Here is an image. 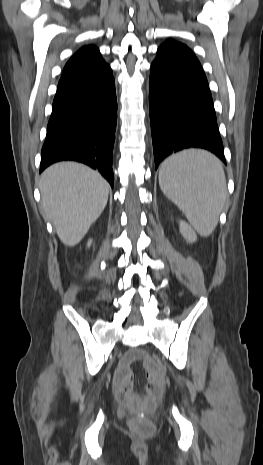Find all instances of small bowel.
<instances>
[{"label":"small bowel","mask_w":263,"mask_h":465,"mask_svg":"<svg viewBox=\"0 0 263 465\" xmlns=\"http://www.w3.org/2000/svg\"><path fill=\"white\" fill-rule=\"evenodd\" d=\"M138 354L135 352L127 353L120 361L119 366L114 376V390L117 398L126 404H129L134 399L139 398L131 390L132 371L130 364L136 360ZM149 384L161 385V377L155 371L149 372Z\"/></svg>","instance_id":"1"}]
</instances>
